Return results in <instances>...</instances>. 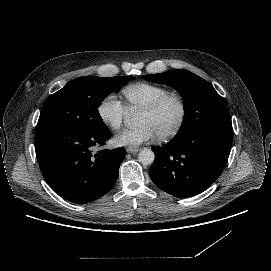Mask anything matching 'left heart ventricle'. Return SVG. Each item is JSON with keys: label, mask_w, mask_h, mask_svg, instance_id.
Wrapping results in <instances>:
<instances>
[{"label": "left heart ventricle", "mask_w": 271, "mask_h": 271, "mask_svg": "<svg viewBox=\"0 0 271 271\" xmlns=\"http://www.w3.org/2000/svg\"><path fill=\"white\" fill-rule=\"evenodd\" d=\"M179 113L180 109L178 103L176 101H170L154 114H145L140 112L137 124H146L150 126L154 134L157 136L174 126L179 117Z\"/></svg>", "instance_id": "b2bd125f"}]
</instances>
